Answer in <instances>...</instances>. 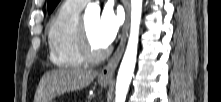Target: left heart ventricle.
Returning <instances> with one entry per match:
<instances>
[{
  "mask_svg": "<svg viewBox=\"0 0 221 102\" xmlns=\"http://www.w3.org/2000/svg\"><path fill=\"white\" fill-rule=\"evenodd\" d=\"M98 17H91L84 21L85 27L87 29V33L89 36V39L91 41V44L94 48H103V46L96 38V28L98 24Z\"/></svg>",
  "mask_w": 221,
  "mask_h": 102,
  "instance_id": "obj_1",
  "label": "left heart ventricle"
}]
</instances>
